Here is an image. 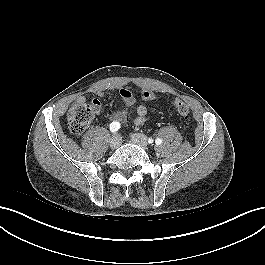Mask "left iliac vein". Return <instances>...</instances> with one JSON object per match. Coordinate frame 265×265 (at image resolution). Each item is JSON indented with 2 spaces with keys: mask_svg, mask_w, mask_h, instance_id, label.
I'll return each mask as SVG.
<instances>
[{
  "mask_svg": "<svg viewBox=\"0 0 265 265\" xmlns=\"http://www.w3.org/2000/svg\"><path fill=\"white\" fill-rule=\"evenodd\" d=\"M131 140L134 144H137L141 146L142 148H146L148 145L147 137L141 133L132 134Z\"/></svg>",
  "mask_w": 265,
  "mask_h": 265,
  "instance_id": "4c4485c4",
  "label": "left iliac vein"
}]
</instances>
